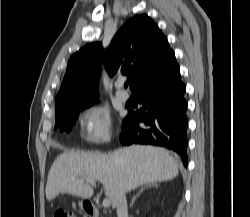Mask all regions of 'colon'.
Returning a JSON list of instances; mask_svg holds the SVG:
<instances>
[{
  "instance_id": "5ec220e1",
  "label": "colon",
  "mask_w": 250,
  "mask_h": 217,
  "mask_svg": "<svg viewBox=\"0 0 250 217\" xmlns=\"http://www.w3.org/2000/svg\"><path fill=\"white\" fill-rule=\"evenodd\" d=\"M54 217H75V214L71 210L59 208L55 211Z\"/></svg>"
}]
</instances>
